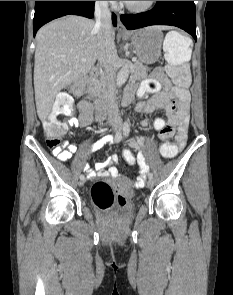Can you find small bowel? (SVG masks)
I'll return each instance as SVG.
<instances>
[{"label":"small bowel","instance_id":"obj_1","mask_svg":"<svg viewBox=\"0 0 233 295\" xmlns=\"http://www.w3.org/2000/svg\"><path fill=\"white\" fill-rule=\"evenodd\" d=\"M139 95L145 97L147 94L152 96L141 100L136 107L139 114H150L157 110H162L167 115V120L156 118L153 122L155 130L161 131L165 127H170L172 131L176 130V142L179 148H183L187 140V130L189 123V92L175 95L172 91L170 81L165 76L161 68L153 71L152 76L146 79L140 86ZM79 117L71 121L73 126L86 127L94 120L91 104L87 99H82L79 103ZM147 121H143L142 126H146ZM111 142L109 136H104L96 141L90 148V153H94ZM142 137H137L129 141L132 148L138 149L143 146ZM77 145L75 143L66 144L65 147H55L53 155L61 161H67L76 153ZM136 162L139 166V176L137 183H143L149 172V167L145 163L144 156L139 152L136 156ZM119 158L116 154H111L105 160L96 162L93 167L85 164L83 170L89 177L99 175L103 177L120 178L121 174L117 169Z\"/></svg>","mask_w":233,"mask_h":295}]
</instances>
